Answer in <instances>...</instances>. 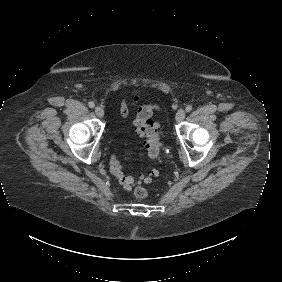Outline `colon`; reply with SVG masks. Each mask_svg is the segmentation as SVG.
Segmentation results:
<instances>
[{"instance_id":"5ec220e1","label":"colon","mask_w":282,"mask_h":282,"mask_svg":"<svg viewBox=\"0 0 282 282\" xmlns=\"http://www.w3.org/2000/svg\"><path fill=\"white\" fill-rule=\"evenodd\" d=\"M164 107L161 103L156 102L152 105H143L140 108L139 114V124L138 129L142 133L143 138L146 142V155L151 161H159L162 153V144L160 140V135L158 132L157 125L152 121L153 113L159 115L163 112ZM109 169L113 177L117 182L123 186L125 189L132 190L133 184H138L139 181L150 182L152 177L159 175L158 169H153L152 172L148 175L141 174L140 180L138 177L127 176L124 172V166L119 161L118 157L113 155L109 161ZM137 199H144L148 196V189L144 186L143 188H137L136 194L134 195Z\"/></svg>"}]
</instances>
